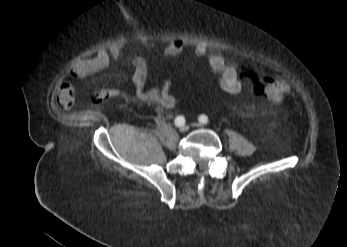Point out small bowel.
I'll list each match as a JSON object with an SVG mask.
<instances>
[{
	"instance_id": "1",
	"label": "small bowel",
	"mask_w": 347,
	"mask_h": 247,
	"mask_svg": "<svg viewBox=\"0 0 347 247\" xmlns=\"http://www.w3.org/2000/svg\"><path fill=\"white\" fill-rule=\"evenodd\" d=\"M186 47L187 43L184 40L175 38L166 44L163 52L166 56H174L183 52ZM144 48L152 50L154 47L147 44ZM193 52L198 57H206L210 69L218 77L221 90L225 93L238 95L247 84L252 85V77L242 75L237 63L227 60L217 49L197 44L193 46ZM114 60L126 62L132 67L134 96L142 103L154 104L158 107V112L154 116L155 121L163 119V110L174 109L179 105L178 99L171 93L172 83L170 80L163 81L160 86L146 89L145 83L148 74L146 59L140 53L125 57L123 49L119 45L99 49L91 57L78 60L73 64L71 73L74 77L83 79L107 68ZM254 88L256 93L262 94L258 89V84ZM74 101L75 89L70 85L62 86L56 94V104L60 110H70L74 105Z\"/></svg>"
}]
</instances>
